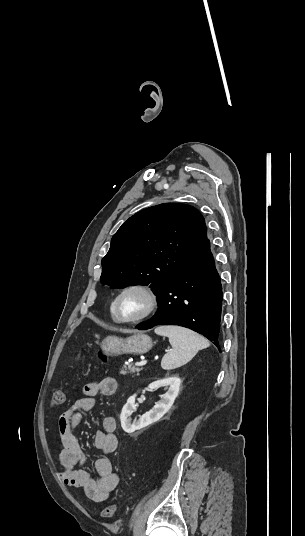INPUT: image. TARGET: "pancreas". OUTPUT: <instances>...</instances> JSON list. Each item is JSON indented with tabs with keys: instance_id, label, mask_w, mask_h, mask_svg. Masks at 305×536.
Masks as SVG:
<instances>
[{
	"instance_id": "cf45deb5",
	"label": "pancreas",
	"mask_w": 305,
	"mask_h": 536,
	"mask_svg": "<svg viewBox=\"0 0 305 536\" xmlns=\"http://www.w3.org/2000/svg\"><path fill=\"white\" fill-rule=\"evenodd\" d=\"M135 372H141V370L140 368H135L133 364H126V366H123L122 370H120L122 376H126V374H135Z\"/></svg>"
}]
</instances>
